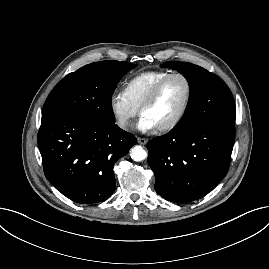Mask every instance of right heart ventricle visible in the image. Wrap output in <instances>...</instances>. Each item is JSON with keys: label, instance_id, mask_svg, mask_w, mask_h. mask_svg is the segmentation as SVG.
<instances>
[{"label": "right heart ventricle", "instance_id": "e07e8e85", "mask_svg": "<svg viewBox=\"0 0 269 269\" xmlns=\"http://www.w3.org/2000/svg\"><path fill=\"white\" fill-rule=\"evenodd\" d=\"M168 74L170 72L164 70L141 72L125 83L124 92L129 101L139 109L152 88Z\"/></svg>", "mask_w": 269, "mask_h": 269}]
</instances>
